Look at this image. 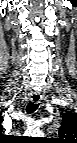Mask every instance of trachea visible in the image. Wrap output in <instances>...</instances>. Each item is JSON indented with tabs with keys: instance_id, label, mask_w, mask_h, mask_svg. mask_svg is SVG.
Returning a JSON list of instances; mask_svg holds the SVG:
<instances>
[{
	"instance_id": "obj_1",
	"label": "trachea",
	"mask_w": 77,
	"mask_h": 143,
	"mask_svg": "<svg viewBox=\"0 0 77 143\" xmlns=\"http://www.w3.org/2000/svg\"><path fill=\"white\" fill-rule=\"evenodd\" d=\"M38 104H36V103H33V102H29L28 103V105H27V107H26V112H27V114H32V113H34L36 110H37V108H38Z\"/></svg>"
}]
</instances>
